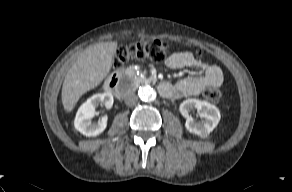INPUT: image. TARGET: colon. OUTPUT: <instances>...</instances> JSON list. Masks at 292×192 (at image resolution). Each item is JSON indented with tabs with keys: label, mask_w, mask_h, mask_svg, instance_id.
Returning a JSON list of instances; mask_svg holds the SVG:
<instances>
[{
	"label": "colon",
	"mask_w": 292,
	"mask_h": 192,
	"mask_svg": "<svg viewBox=\"0 0 292 192\" xmlns=\"http://www.w3.org/2000/svg\"><path fill=\"white\" fill-rule=\"evenodd\" d=\"M169 50V44L163 40H145L120 48L117 51L114 68L119 69L129 60H149L155 63L162 62ZM199 55V53H197ZM224 91L219 86H211L203 91V96L213 103H219Z\"/></svg>",
	"instance_id": "obj_1"
}]
</instances>
